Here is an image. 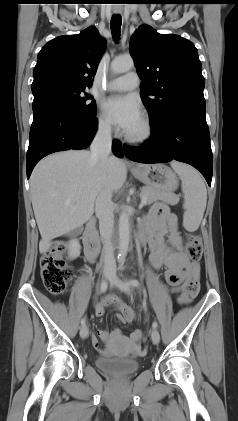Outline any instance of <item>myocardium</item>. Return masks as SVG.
<instances>
[{"mask_svg":"<svg viewBox=\"0 0 238 421\" xmlns=\"http://www.w3.org/2000/svg\"><path fill=\"white\" fill-rule=\"evenodd\" d=\"M141 122L143 126V131L140 135L133 136L127 132L124 133V138L129 144L141 146L148 143L151 140L153 135V127L150 119L146 115H143L141 118Z\"/></svg>","mask_w":238,"mask_h":421,"instance_id":"obj_1","label":"myocardium"}]
</instances>
